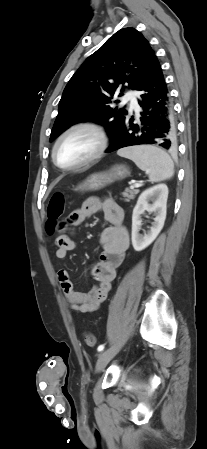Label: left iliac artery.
Returning <instances> with one entry per match:
<instances>
[{
  "instance_id": "left-iliac-artery-1",
  "label": "left iliac artery",
  "mask_w": 207,
  "mask_h": 449,
  "mask_svg": "<svg viewBox=\"0 0 207 449\" xmlns=\"http://www.w3.org/2000/svg\"><path fill=\"white\" fill-rule=\"evenodd\" d=\"M103 349H104V345L102 344V345H99V347H98V351L100 352V351H103Z\"/></svg>"
}]
</instances>
